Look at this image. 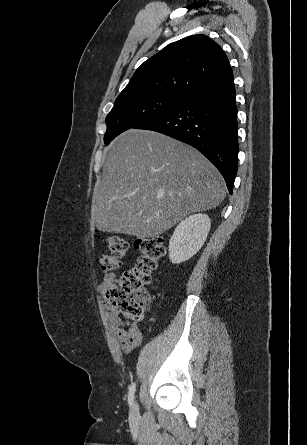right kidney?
I'll list each match as a JSON object with an SVG mask.
<instances>
[{"instance_id":"1","label":"right kidney","mask_w":307,"mask_h":445,"mask_svg":"<svg viewBox=\"0 0 307 445\" xmlns=\"http://www.w3.org/2000/svg\"><path fill=\"white\" fill-rule=\"evenodd\" d=\"M210 227L208 214H191L181 220L169 243L171 263H184L196 255L203 247Z\"/></svg>"}]
</instances>
